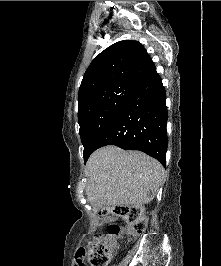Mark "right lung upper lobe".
Segmentation results:
<instances>
[{"label": "right lung upper lobe", "mask_w": 221, "mask_h": 266, "mask_svg": "<svg viewBox=\"0 0 221 266\" xmlns=\"http://www.w3.org/2000/svg\"><path fill=\"white\" fill-rule=\"evenodd\" d=\"M156 73L151 57L140 42H116L89 65L79 88V101L98 89L118 85L138 87Z\"/></svg>", "instance_id": "obj_1"}]
</instances>
